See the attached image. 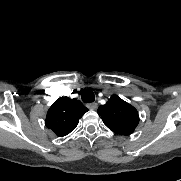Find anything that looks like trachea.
<instances>
[{
	"label": "trachea",
	"mask_w": 181,
	"mask_h": 181,
	"mask_svg": "<svg viewBox=\"0 0 181 181\" xmlns=\"http://www.w3.org/2000/svg\"><path fill=\"white\" fill-rule=\"evenodd\" d=\"M81 98H82V101L85 103H91L95 100L94 93L91 90H85L82 93Z\"/></svg>",
	"instance_id": "trachea-1"
}]
</instances>
